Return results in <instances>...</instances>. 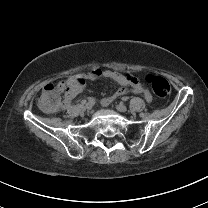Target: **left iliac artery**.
Listing matches in <instances>:
<instances>
[{
  "instance_id": "44dca946",
  "label": "left iliac artery",
  "mask_w": 208,
  "mask_h": 208,
  "mask_svg": "<svg viewBox=\"0 0 208 208\" xmlns=\"http://www.w3.org/2000/svg\"><path fill=\"white\" fill-rule=\"evenodd\" d=\"M122 100L123 101H127L128 100V97H123Z\"/></svg>"
}]
</instances>
